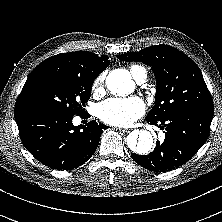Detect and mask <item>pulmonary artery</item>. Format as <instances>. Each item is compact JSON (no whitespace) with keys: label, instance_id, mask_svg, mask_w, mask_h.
<instances>
[{"label":"pulmonary artery","instance_id":"1","mask_svg":"<svg viewBox=\"0 0 222 222\" xmlns=\"http://www.w3.org/2000/svg\"><path fill=\"white\" fill-rule=\"evenodd\" d=\"M146 77H147V75H146V74H143V75H141V76L137 79V81H138L139 83H143V82L145 81Z\"/></svg>","mask_w":222,"mask_h":222}]
</instances>
